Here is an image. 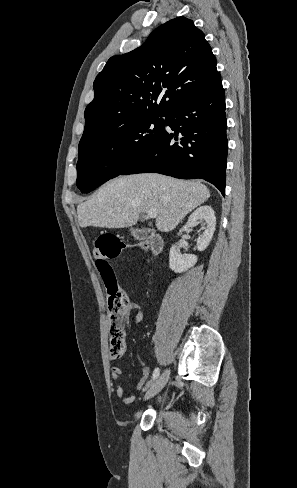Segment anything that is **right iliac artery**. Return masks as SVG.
Here are the masks:
<instances>
[{
	"instance_id": "1",
	"label": "right iliac artery",
	"mask_w": 297,
	"mask_h": 488,
	"mask_svg": "<svg viewBox=\"0 0 297 488\" xmlns=\"http://www.w3.org/2000/svg\"><path fill=\"white\" fill-rule=\"evenodd\" d=\"M159 374H160V370L157 367V368L154 369V372H153V375H152V380L157 379L159 377Z\"/></svg>"
}]
</instances>
